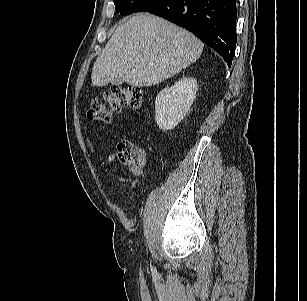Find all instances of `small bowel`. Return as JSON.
Here are the masks:
<instances>
[{
  "instance_id": "small-bowel-1",
  "label": "small bowel",
  "mask_w": 307,
  "mask_h": 301,
  "mask_svg": "<svg viewBox=\"0 0 307 301\" xmlns=\"http://www.w3.org/2000/svg\"><path fill=\"white\" fill-rule=\"evenodd\" d=\"M116 156L114 154H111L109 157V164H113L115 162ZM141 168L144 169L147 165V158L146 154L142 152V158L140 162ZM116 182L119 184H127L129 186V189L132 191L135 189L137 181L135 179L130 178H124V177H118L116 178Z\"/></svg>"
}]
</instances>
